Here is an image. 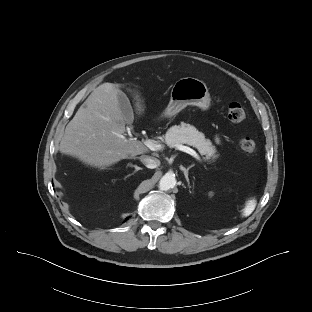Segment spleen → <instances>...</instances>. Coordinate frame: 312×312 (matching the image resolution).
<instances>
[{
	"mask_svg": "<svg viewBox=\"0 0 312 312\" xmlns=\"http://www.w3.org/2000/svg\"><path fill=\"white\" fill-rule=\"evenodd\" d=\"M254 206H255V203L253 201L248 202L246 207L243 210V215L244 216L249 215L253 211Z\"/></svg>",
	"mask_w": 312,
	"mask_h": 312,
	"instance_id": "obj_1",
	"label": "spleen"
}]
</instances>
